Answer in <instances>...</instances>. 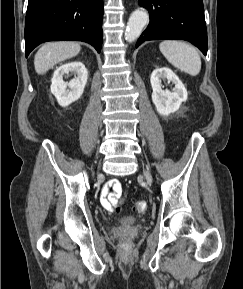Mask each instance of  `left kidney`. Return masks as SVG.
Here are the masks:
<instances>
[{
  "label": "left kidney",
  "mask_w": 243,
  "mask_h": 289,
  "mask_svg": "<svg viewBox=\"0 0 243 289\" xmlns=\"http://www.w3.org/2000/svg\"><path fill=\"white\" fill-rule=\"evenodd\" d=\"M161 79H167L175 85L174 91L163 90ZM153 89L152 101L160 115L168 116L177 111L182 102L187 100V90L180 79L167 67L155 69L150 78Z\"/></svg>",
  "instance_id": "1"
}]
</instances>
